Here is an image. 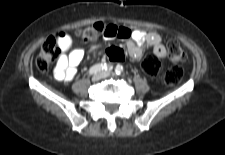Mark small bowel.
Returning <instances> with one entry per match:
<instances>
[{"label": "small bowel", "mask_w": 225, "mask_h": 155, "mask_svg": "<svg viewBox=\"0 0 225 155\" xmlns=\"http://www.w3.org/2000/svg\"><path fill=\"white\" fill-rule=\"evenodd\" d=\"M110 31L103 36L105 39L120 38L127 40L129 55L139 59L143 54V46L152 47L154 55L158 59H165L167 51L160 34L154 31L141 29H128L126 27L109 24ZM56 44L60 48V56L54 69V77L59 81H72L77 75V67L83 59L84 52L75 49L76 37L67 31H60L56 35Z\"/></svg>", "instance_id": "obj_1"}]
</instances>
